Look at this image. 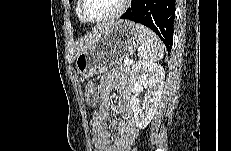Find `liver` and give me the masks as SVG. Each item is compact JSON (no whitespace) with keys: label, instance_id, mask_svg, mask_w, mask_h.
Listing matches in <instances>:
<instances>
[{"label":"liver","instance_id":"1","mask_svg":"<svg viewBox=\"0 0 231 151\" xmlns=\"http://www.w3.org/2000/svg\"><path fill=\"white\" fill-rule=\"evenodd\" d=\"M111 23L102 24L98 26L97 28L93 29L92 32L84 36L83 38L79 39L77 42V56L83 52H85L87 49L92 47L93 45L97 44V42L100 40L102 35L108 30Z\"/></svg>","mask_w":231,"mask_h":151}]
</instances>
